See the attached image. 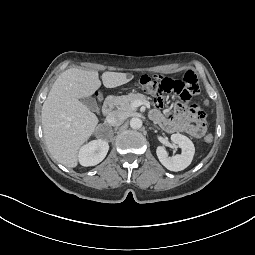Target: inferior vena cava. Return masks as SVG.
Returning a JSON list of instances; mask_svg holds the SVG:
<instances>
[{
    "instance_id": "1",
    "label": "inferior vena cava",
    "mask_w": 255,
    "mask_h": 255,
    "mask_svg": "<svg viewBox=\"0 0 255 255\" xmlns=\"http://www.w3.org/2000/svg\"><path fill=\"white\" fill-rule=\"evenodd\" d=\"M125 119L126 117L122 112L114 111L106 117V122L111 126H119Z\"/></svg>"
}]
</instances>
